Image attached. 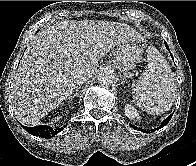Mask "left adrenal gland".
Instances as JSON below:
<instances>
[{
  "mask_svg": "<svg viewBox=\"0 0 196 166\" xmlns=\"http://www.w3.org/2000/svg\"><path fill=\"white\" fill-rule=\"evenodd\" d=\"M121 79H122L123 84L126 83V84H128V86H130L129 81L124 76H122Z\"/></svg>",
  "mask_w": 196,
  "mask_h": 166,
  "instance_id": "obj_1",
  "label": "left adrenal gland"
}]
</instances>
